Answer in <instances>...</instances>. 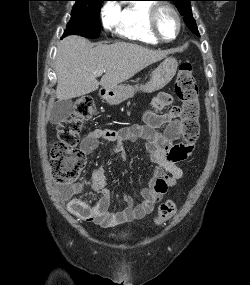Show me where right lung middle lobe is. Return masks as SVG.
<instances>
[{"mask_svg":"<svg viewBox=\"0 0 250 285\" xmlns=\"http://www.w3.org/2000/svg\"><path fill=\"white\" fill-rule=\"evenodd\" d=\"M76 1L64 36L77 34L87 38H98L100 35V7L104 0Z\"/></svg>","mask_w":250,"mask_h":285,"instance_id":"right-lung-middle-lobe-1","label":"right lung middle lobe"}]
</instances>
